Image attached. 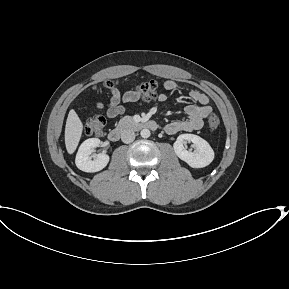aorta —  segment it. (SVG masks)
Segmentation results:
<instances>
[{"label": "aorta", "mask_w": 289, "mask_h": 289, "mask_svg": "<svg viewBox=\"0 0 289 289\" xmlns=\"http://www.w3.org/2000/svg\"><path fill=\"white\" fill-rule=\"evenodd\" d=\"M142 138L150 137V130L149 129H142L140 132Z\"/></svg>", "instance_id": "1"}]
</instances>
